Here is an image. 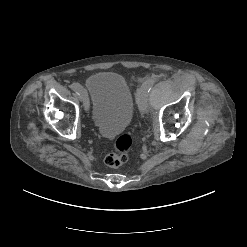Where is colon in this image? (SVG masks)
Listing matches in <instances>:
<instances>
[{
	"mask_svg": "<svg viewBox=\"0 0 247 247\" xmlns=\"http://www.w3.org/2000/svg\"><path fill=\"white\" fill-rule=\"evenodd\" d=\"M132 145L133 139L129 134L120 135L114 141L112 150L105 157L106 165L116 168L124 164Z\"/></svg>",
	"mask_w": 247,
	"mask_h": 247,
	"instance_id": "colon-1",
	"label": "colon"
}]
</instances>
